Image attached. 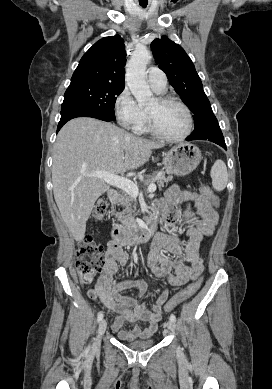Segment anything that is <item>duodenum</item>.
<instances>
[{
    "label": "duodenum",
    "instance_id": "410a0bca",
    "mask_svg": "<svg viewBox=\"0 0 272 389\" xmlns=\"http://www.w3.org/2000/svg\"><path fill=\"white\" fill-rule=\"evenodd\" d=\"M108 196L111 201L116 202L119 194L116 190L111 189ZM157 217V213L154 211L145 225L133 223L128 227L116 226L112 231V240L121 246H133L139 242L148 241L153 236Z\"/></svg>",
    "mask_w": 272,
    "mask_h": 389
}]
</instances>
